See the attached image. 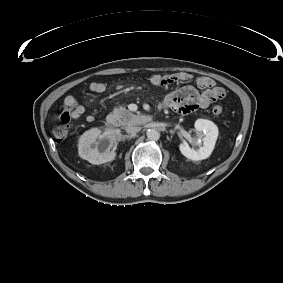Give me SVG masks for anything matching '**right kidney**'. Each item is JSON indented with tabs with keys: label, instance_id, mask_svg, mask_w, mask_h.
Segmentation results:
<instances>
[{
	"label": "right kidney",
	"instance_id": "right-kidney-1",
	"mask_svg": "<svg viewBox=\"0 0 283 283\" xmlns=\"http://www.w3.org/2000/svg\"><path fill=\"white\" fill-rule=\"evenodd\" d=\"M113 131L106 129L102 132L98 128H92L84 132L79 139V156L94 165L113 161L116 157V137Z\"/></svg>",
	"mask_w": 283,
	"mask_h": 283
}]
</instances>
